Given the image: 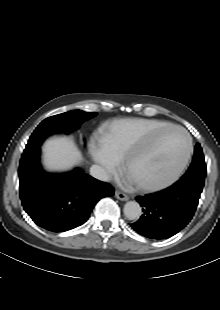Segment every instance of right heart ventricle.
<instances>
[{
  "label": "right heart ventricle",
  "mask_w": 220,
  "mask_h": 310,
  "mask_svg": "<svg viewBox=\"0 0 220 310\" xmlns=\"http://www.w3.org/2000/svg\"><path fill=\"white\" fill-rule=\"evenodd\" d=\"M168 125L166 122L157 120H140L133 123H122L114 128L113 133L102 141L101 145L118 162V160H122L144 137Z\"/></svg>",
  "instance_id": "1"
}]
</instances>
